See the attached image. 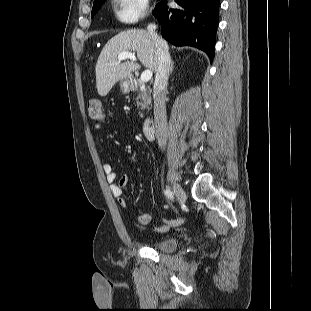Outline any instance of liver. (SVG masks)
I'll list each match as a JSON object with an SVG mask.
<instances>
[{
    "label": "liver",
    "instance_id": "obj_1",
    "mask_svg": "<svg viewBox=\"0 0 311 311\" xmlns=\"http://www.w3.org/2000/svg\"><path fill=\"white\" fill-rule=\"evenodd\" d=\"M122 52L136 53L146 68L156 71V48L149 32L141 29L121 32L105 44L96 63V87L102 97L106 96L119 80L129 77L133 71L140 68V65L133 61L121 63L118 55Z\"/></svg>",
    "mask_w": 311,
    "mask_h": 311
}]
</instances>
